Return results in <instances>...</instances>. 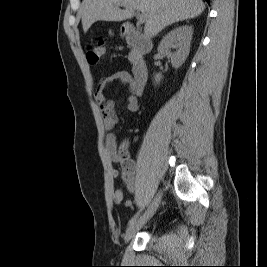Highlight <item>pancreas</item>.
Returning <instances> with one entry per match:
<instances>
[{"label": "pancreas", "mask_w": 267, "mask_h": 267, "mask_svg": "<svg viewBox=\"0 0 267 267\" xmlns=\"http://www.w3.org/2000/svg\"><path fill=\"white\" fill-rule=\"evenodd\" d=\"M137 55H138L137 50L135 49L131 50L129 57H128L129 61L133 63L137 59Z\"/></svg>", "instance_id": "1"}]
</instances>
